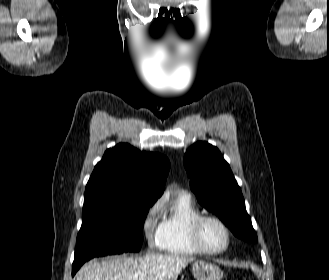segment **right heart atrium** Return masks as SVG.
<instances>
[{"label": "right heart atrium", "instance_id": "right-heart-atrium-1", "mask_svg": "<svg viewBox=\"0 0 329 280\" xmlns=\"http://www.w3.org/2000/svg\"><path fill=\"white\" fill-rule=\"evenodd\" d=\"M164 206L163 198L154 201L146 210L142 219V232L150 247L160 246L163 236L164 221L161 220V212Z\"/></svg>", "mask_w": 329, "mask_h": 280}]
</instances>
